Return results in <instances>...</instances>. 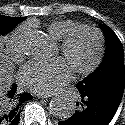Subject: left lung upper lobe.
<instances>
[{
  "mask_svg": "<svg viewBox=\"0 0 125 125\" xmlns=\"http://www.w3.org/2000/svg\"><path fill=\"white\" fill-rule=\"evenodd\" d=\"M106 36V54L101 65L83 81L84 90L125 83L124 53L121 41L107 25H100Z\"/></svg>",
  "mask_w": 125,
  "mask_h": 125,
  "instance_id": "5c2ea615",
  "label": "left lung upper lobe"
}]
</instances>
